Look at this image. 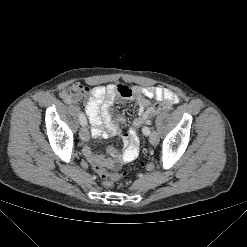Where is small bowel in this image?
<instances>
[{
	"label": "small bowel",
	"mask_w": 247,
	"mask_h": 247,
	"mask_svg": "<svg viewBox=\"0 0 247 247\" xmlns=\"http://www.w3.org/2000/svg\"><path fill=\"white\" fill-rule=\"evenodd\" d=\"M131 94L121 96L118 86L109 84L88 87L81 84H73L60 92L61 99L68 104H74L85 99V113L92 126L94 138H109L120 135L124 144V150L119 153L115 148L108 150L109 156H104L90 147H85L83 152L87 160L96 169L97 166L109 169H118L122 164L134 160L139 152V138L137 132L130 129L123 132L124 118L114 111L116 102L124 103L133 101L137 105L138 114H142L150 103V99L177 104L178 96L171 90L161 87H140L130 89Z\"/></svg>",
	"instance_id": "1"
}]
</instances>
